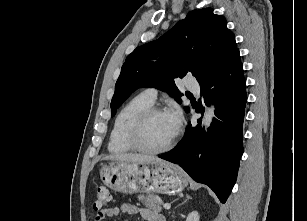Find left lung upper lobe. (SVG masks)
<instances>
[{
	"mask_svg": "<svg viewBox=\"0 0 307 221\" xmlns=\"http://www.w3.org/2000/svg\"><path fill=\"white\" fill-rule=\"evenodd\" d=\"M226 19L212 8L191 11L163 36L136 48L122 66L111 101V116L141 87L168 92L180 103L174 79L192 73L200 85L213 78L238 52ZM189 112V107H185Z\"/></svg>",
	"mask_w": 307,
	"mask_h": 221,
	"instance_id": "left-lung-upper-lobe-1",
	"label": "left lung upper lobe"
}]
</instances>
